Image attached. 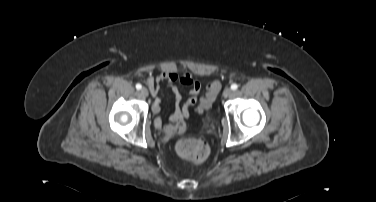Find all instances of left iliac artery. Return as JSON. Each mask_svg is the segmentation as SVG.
Listing matches in <instances>:
<instances>
[{
	"label": "left iliac artery",
	"mask_w": 376,
	"mask_h": 202,
	"mask_svg": "<svg viewBox=\"0 0 376 202\" xmlns=\"http://www.w3.org/2000/svg\"><path fill=\"white\" fill-rule=\"evenodd\" d=\"M238 88V85L236 83L232 84L231 85V89L232 90H236Z\"/></svg>",
	"instance_id": "obj_1"
}]
</instances>
